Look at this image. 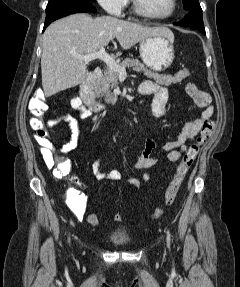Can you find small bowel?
Returning <instances> with one entry per match:
<instances>
[{
	"mask_svg": "<svg viewBox=\"0 0 240 287\" xmlns=\"http://www.w3.org/2000/svg\"><path fill=\"white\" fill-rule=\"evenodd\" d=\"M139 93L142 95L152 96L151 111L153 115L160 117L167 112L168 90L153 81H144L139 86ZM71 107L78 112L80 117L88 118L92 114V110L86 106L79 97L70 98ZM214 108L212 106L204 107L199 118L190 120L185 123L177 138L169 141L161 146V150L165 153V160L168 162L178 161L182 153L187 150L188 144L195 139L201 131L205 121L210 120L213 116ZM65 121L70 128V140L62 145L59 152L62 155L68 154L75 150L78 146L79 132L77 120L70 114L63 113L53 117L47 121L49 128L55 127L59 121ZM37 143L41 146V154L47 164L52 165V149L53 145L47 139L43 140L35 136ZM157 143L153 138H148L145 141L144 149L140 157L134 162L133 166L138 169H150L158 164V159L151 154L156 149ZM70 162V161H69ZM92 174L97 180H112L117 181L121 179L122 174L119 170L112 169L104 171L102 169V158L98 157L92 164ZM77 182V179L73 178ZM129 181L134 186L142 184L141 177H131ZM67 205L74 213L78 220L84 218L87 207V196L83 193L76 192L70 194L67 198Z\"/></svg>",
	"mask_w": 240,
	"mask_h": 287,
	"instance_id": "1",
	"label": "small bowel"
}]
</instances>
